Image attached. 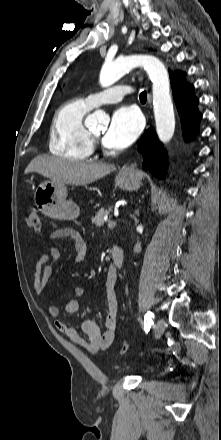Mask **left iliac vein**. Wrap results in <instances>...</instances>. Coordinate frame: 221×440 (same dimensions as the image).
I'll list each match as a JSON object with an SVG mask.
<instances>
[{"instance_id":"left-iliac-vein-1","label":"left iliac vein","mask_w":221,"mask_h":440,"mask_svg":"<svg viewBox=\"0 0 221 440\" xmlns=\"http://www.w3.org/2000/svg\"><path fill=\"white\" fill-rule=\"evenodd\" d=\"M165 331V321L163 319H159L156 322V328L154 336L156 339L160 338Z\"/></svg>"}]
</instances>
